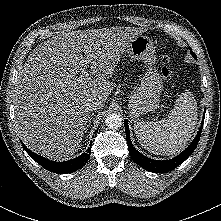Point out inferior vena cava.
I'll list each match as a JSON object with an SVG mask.
<instances>
[{
  "label": "inferior vena cava",
  "instance_id": "inferior-vena-cava-1",
  "mask_svg": "<svg viewBox=\"0 0 221 221\" xmlns=\"http://www.w3.org/2000/svg\"><path fill=\"white\" fill-rule=\"evenodd\" d=\"M103 107V102L100 100H90L86 104V108L88 111H94Z\"/></svg>",
  "mask_w": 221,
  "mask_h": 221
}]
</instances>
